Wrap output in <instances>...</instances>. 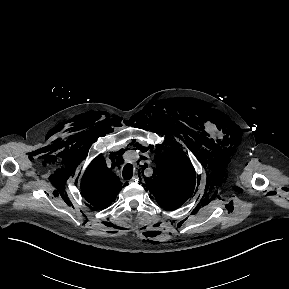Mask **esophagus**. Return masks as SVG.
I'll use <instances>...</instances> for the list:
<instances>
[{
  "label": "esophagus",
  "mask_w": 289,
  "mask_h": 289,
  "mask_svg": "<svg viewBox=\"0 0 289 289\" xmlns=\"http://www.w3.org/2000/svg\"><path fill=\"white\" fill-rule=\"evenodd\" d=\"M139 180V177H138V175H135L133 178H132V180L131 181H138Z\"/></svg>",
  "instance_id": "34e87169"
}]
</instances>
